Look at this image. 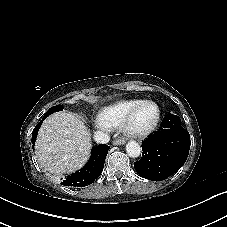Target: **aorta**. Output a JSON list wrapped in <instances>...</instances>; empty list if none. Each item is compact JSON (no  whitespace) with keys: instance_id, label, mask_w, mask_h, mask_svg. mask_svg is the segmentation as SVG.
Masks as SVG:
<instances>
[{"instance_id":"obj_1","label":"aorta","mask_w":227,"mask_h":227,"mask_svg":"<svg viewBox=\"0 0 227 227\" xmlns=\"http://www.w3.org/2000/svg\"><path fill=\"white\" fill-rule=\"evenodd\" d=\"M126 152L129 157L137 158L141 154V147L137 142L130 141L126 144Z\"/></svg>"}]
</instances>
